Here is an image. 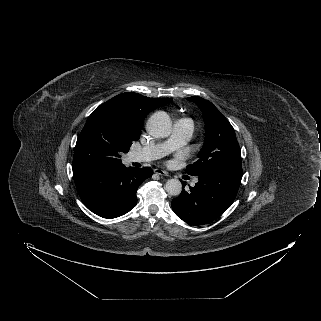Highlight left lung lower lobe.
<instances>
[{
  "label": "left lung lower lobe",
  "instance_id": "left-lung-lower-lobe-1",
  "mask_svg": "<svg viewBox=\"0 0 321 321\" xmlns=\"http://www.w3.org/2000/svg\"><path fill=\"white\" fill-rule=\"evenodd\" d=\"M243 175L242 169H219L198 175L190 191L173 199L172 209L191 225H203L218 218L234 201Z\"/></svg>",
  "mask_w": 321,
  "mask_h": 321
}]
</instances>
